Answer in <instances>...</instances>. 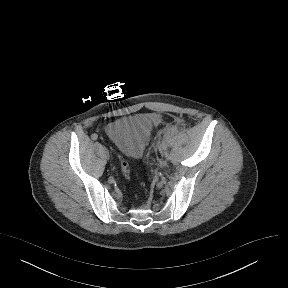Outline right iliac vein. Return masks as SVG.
I'll list each match as a JSON object with an SVG mask.
<instances>
[{
  "label": "right iliac vein",
  "instance_id": "right-iliac-vein-1",
  "mask_svg": "<svg viewBox=\"0 0 288 288\" xmlns=\"http://www.w3.org/2000/svg\"><path fill=\"white\" fill-rule=\"evenodd\" d=\"M104 152H105L106 158H109L110 155H109V151L107 148L104 149Z\"/></svg>",
  "mask_w": 288,
  "mask_h": 288
}]
</instances>
